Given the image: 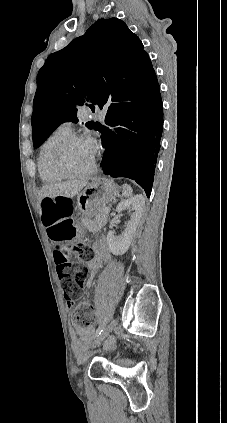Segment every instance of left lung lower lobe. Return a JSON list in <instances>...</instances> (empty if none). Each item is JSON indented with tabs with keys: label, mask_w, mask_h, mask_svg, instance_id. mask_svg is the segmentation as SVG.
<instances>
[{
	"label": "left lung lower lobe",
	"mask_w": 227,
	"mask_h": 423,
	"mask_svg": "<svg viewBox=\"0 0 227 423\" xmlns=\"http://www.w3.org/2000/svg\"><path fill=\"white\" fill-rule=\"evenodd\" d=\"M100 126L105 147L102 167L111 177L135 180L150 197L163 130V107L155 71L125 110H110Z\"/></svg>",
	"instance_id": "obj_1"
}]
</instances>
